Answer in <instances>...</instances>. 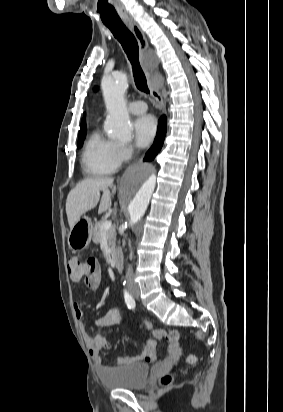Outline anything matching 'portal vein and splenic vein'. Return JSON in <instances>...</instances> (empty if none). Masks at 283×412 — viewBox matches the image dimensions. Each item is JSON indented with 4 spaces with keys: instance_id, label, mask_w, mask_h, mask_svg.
Here are the masks:
<instances>
[{
    "instance_id": "18ae733b",
    "label": "portal vein and splenic vein",
    "mask_w": 283,
    "mask_h": 412,
    "mask_svg": "<svg viewBox=\"0 0 283 412\" xmlns=\"http://www.w3.org/2000/svg\"><path fill=\"white\" fill-rule=\"evenodd\" d=\"M111 226H112L111 221H105L101 226V231L106 232L111 228Z\"/></svg>"
}]
</instances>
